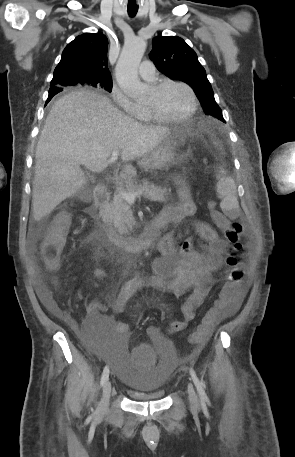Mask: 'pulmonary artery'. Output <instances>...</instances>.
Masks as SVG:
<instances>
[{"label": "pulmonary artery", "mask_w": 295, "mask_h": 457, "mask_svg": "<svg viewBox=\"0 0 295 457\" xmlns=\"http://www.w3.org/2000/svg\"><path fill=\"white\" fill-rule=\"evenodd\" d=\"M139 75L146 81H154L156 79L155 66L151 61H143L138 69Z\"/></svg>", "instance_id": "obj_1"}]
</instances>
